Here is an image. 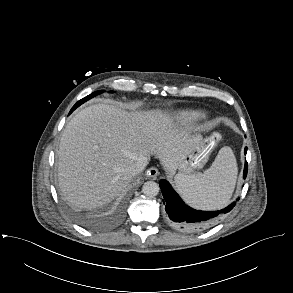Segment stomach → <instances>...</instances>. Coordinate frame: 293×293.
I'll return each mask as SVG.
<instances>
[{
	"label": "stomach",
	"instance_id": "1",
	"mask_svg": "<svg viewBox=\"0 0 293 293\" xmlns=\"http://www.w3.org/2000/svg\"><path fill=\"white\" fill-rule=\"evenodd\" d=\"M218 139L219 134L217 133H213L211 136L202 139L179 164L176 179L190 176L197 169L203 167L208 161L209 155L216 146Z\"/></svg>",
	"mask_w": 293,
	"mask_h": 293
}]
</instances>
